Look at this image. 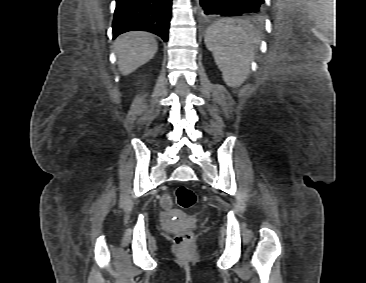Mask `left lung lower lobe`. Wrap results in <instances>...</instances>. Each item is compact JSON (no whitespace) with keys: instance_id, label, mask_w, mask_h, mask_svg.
Listing matches in <instances>:
<instances>
[{"instance_id":"1","label":"left lung lower lobe","mask_w":366,"mask_h":283,"mask_svg":"<svg viewBox=\"0 0 366 283\" xmlns=\"http://www.w3.org/2000/svg\"><path fill=\"white\" fill-rule=\"evenodd\" d=\"M264 0H200L202 13L215 16H240L263 12ZM256 40V39H255Z\"/></svg>"}]
</instances>
